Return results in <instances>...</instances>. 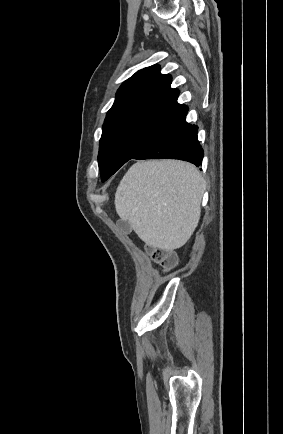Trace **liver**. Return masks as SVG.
Here are the masks:
<instances>
[{
	"mask_svg": "<svg viewBox=\"0 0 283 434\" xmlns=\"http://www.w3.org/2000/svg\"><path fill=\"white\" fill-rule=\"evenodd\" d=\"M205 186L190 163L137 162L117 188L116 212L146 245L173 251L190 239L199 223Z\"/></svg>",
	"mask_w": 283,
	"mask_h": 434,
	"instance_id": "6515ba94",
	"label": "liver"
}]
</instances>
